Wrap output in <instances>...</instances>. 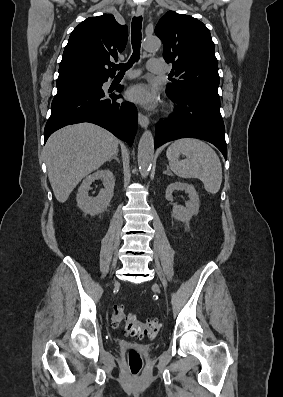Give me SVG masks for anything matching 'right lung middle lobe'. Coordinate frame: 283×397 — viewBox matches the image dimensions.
Wrapping results in <instances>:
<instances>
[{"label": "right lung middle lobe", "instance_id": "right-lung-middle-lobe-1", "mask_svg": "<svg viewBox=\"0 0 283 397\" xmlns=\"http://www.w3.org/2000/svg\"><path fill=\"white\" fill-rule=\"evenodd\" d=\"M104 80H95V79H73V80H64L57 81L56 85L58 90L66 89L73 86H91L102 83Z\"/></svg>", "mask_w": 283, "mask_h": 397}]
</instances>
